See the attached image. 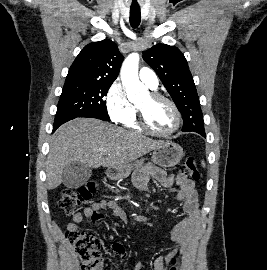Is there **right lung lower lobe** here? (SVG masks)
<instances>
[{
	"label": "right lung lower lobe",
	"instance_id": "right-lung-lower-lobe-1",
	"mask_svg": "<svg viewBox=\"0 0 267 270\" xmlns=\"http://www.w3.org/2000/svg\"><path fill=\"white\" fill-rule=\"evenodd\" d=\"M92 118H97V119H101V120H104V121H109V120H106L104 118H101V117H92ZM69 120H72V119H61L60 121H54V125H53V132L60 126L62 125L63 123L69 121Z\"/></svg>",
	"mask_w": 267,
	"mask_h": 270
}]
</instances>
